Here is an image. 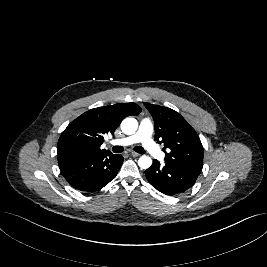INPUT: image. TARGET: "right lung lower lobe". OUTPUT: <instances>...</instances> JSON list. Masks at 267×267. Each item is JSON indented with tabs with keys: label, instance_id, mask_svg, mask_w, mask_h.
<instances>
[{
	"label": "right lung lower lobe",
	"instance_id": "98d812e1",
	"mask_svg": "<svg viewBox=\"0 0 267 267\" xmlns=\"http://www.w3.org/2000/svg\"><path fill=\"white\" fill-rule=\"evenodd\" d=\"M123 160L121 155L110 153L63 161L59 163V168L74 188L94 192L115 178Z\"/></svg>",
	"mask_w": 267,
	"mask_h": 267
}]
</instances>
